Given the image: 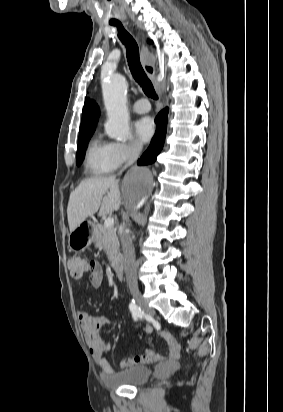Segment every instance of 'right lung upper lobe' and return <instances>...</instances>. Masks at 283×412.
<instances>
[{
    "instance_id": "cb5924a9",
    "label": "right lung upper lobe",
    "mask_w": 283,
    "mask_h": 412,
    "mask_svg": "<svg viewBox=\"0 0 283 412\" xmlns=\"http://www.w3.org/2000/svg\"><path fill=\"white\" fill-rule=\"evenodd\" d=\"M98 116L99 110L96 103L87 98L83 107L79 137L94 131Z\"/></svg>"
}]
</instances>
